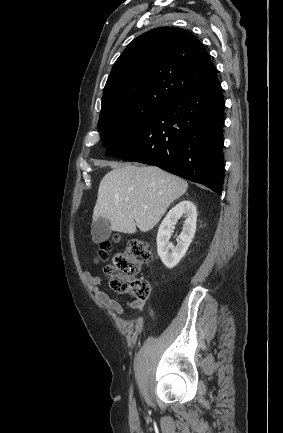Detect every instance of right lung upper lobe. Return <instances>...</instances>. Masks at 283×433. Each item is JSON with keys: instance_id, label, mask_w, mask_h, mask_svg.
<instances>
[{"instance_id": "right-lung-upper-lobe-1", "label": "right lung upper lobe", "mask_w": 283, "mask_h": 433, "mask_svg": "<svg viewBox=\"0 0 283 433\" xmlns=\"http://www.w3.org/2000/svg\"><path fill=\"white\" fill-rule=\"evenodd\" d=\"M215 80L210 57L193 34L174 27L156 28L134 39L115 62L101 112L135 103L165 106Z\"/></svg>"}]
</instances>
